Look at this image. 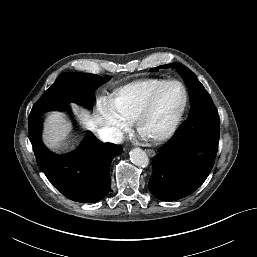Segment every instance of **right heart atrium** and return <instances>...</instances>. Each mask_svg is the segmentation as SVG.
Instances as JSON below:
<instances>
[{"label": "right heart atrium", "mask_w": 257, "mask_h": 257, "mask_svg": "<svg viewBox=\"0 0 257 257\" xmlns=\"http://www.w3.org/2000/svg\"><path fill=\"white\" fill-rule=\"evenodd\" d=\"M100 127L111 140L119 139L131 126V121L123 116L113 99L105 98L99 104Z\"/></svg>", "instance_id": "obj_1"}]
</instances>
